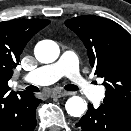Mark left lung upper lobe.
<instances>
[{
	"instance_id": "obj_1",
	"label": "left lung upper lobe",
	"mask_w": 131,
	"mask_h": 131,
	"mask_svg": "<svg viewBox=\"0 0 131 131\" xmlns=\"http://www.w3.org/2000/svg\"><path fill=\"white\" fill-rule=\"evenodd\" d=\"M65 24L83 41L95 74L105 80L102 105L131 120V35L116 22L94 15Z\"/></svg>"
}]
</instances>
